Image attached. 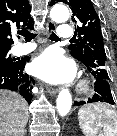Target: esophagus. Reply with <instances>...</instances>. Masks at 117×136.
I'll return each instance as SVG.
<instances>
[{"mask_svg":"<svg viewBox=\"0 0 117 136\" xmlns=\"http://www.w3.org/2000/svg\"><path fill=\"white\" fill-rule=\"evenodd\" d=\"M56 30V25L54 22L49 21L46 25V34L50 35L52 32ZM58 89L52 86L47 87V93L49 96L53 97L57 94Z\"/></svg>","mask_w":117,"mask_h":136,"instance_id":"esophagus-1","label":"esophagus"}]
</instances>
